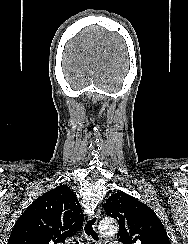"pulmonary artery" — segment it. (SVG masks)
I'll use <instances>...</instances> for the list:
<instances>
[{"mask_svg": "<svg viewBox=\"0 0 188 244\" xmlns=\"http://www.w3.org/2000/svg\"><path fill=\"white\" fill-rule=\"evenodd\" d=\"M110 244H122L121 242H112Z\"/></svg>", "mask_w": 188, "mask_h": 244, "instance_id": "1", "label": "pulmonary artery"}]
</instances>
